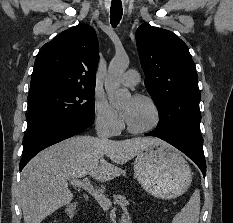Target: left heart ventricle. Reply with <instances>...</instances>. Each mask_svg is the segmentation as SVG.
I'll list each match as a JSON object with an SVG mask.
<instances>
[{"mask_svg": "<svg viewBox=\"0 0 233 223\" xmlns=\"http://www.w3.org/2000/svg\"><path fill=\"white\" fill-rule=\"evenodd\" d=\"M130 103H133L134 111L128 124L138 130L151 127L155 121V116L150 105L144 100L133 98L125 101L120 108L123 110Z\"/></svg>", "mask_w": 233, "mask_h": 223, "instance_id": "b2bd125f", "label": "left heart ventricle"}]
</instances>
